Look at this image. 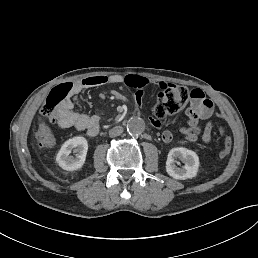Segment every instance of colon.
I'll list each match as a JSON object with an SVG mask.
<instances>
[{
    "instance_id": "1",
    "label": "colon",
    "mask_w": 258,
    "mask_h": 258,
    "mask_svg": "<svg viewBox=\"0 0 258 258\" xmlns=\"http://www.w3.org/2000/svg\"><path fill=\"white\" fill-rule=\"evenodd\" d=\"M74 94L75 84L72 82L61 83L52 88L41 109V118L48 123L54 124L57 121L56 114L58 109L70 101ZM189 97L190 92L184 86L166 84L157 95L154 115L161 119L168 115L178 113L185 106ZM219 132L223 139L219 156L226 158L230 154L232 140L225 134L223 127H219Z\"/></svg>"
}]
</instances>
